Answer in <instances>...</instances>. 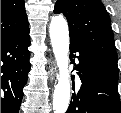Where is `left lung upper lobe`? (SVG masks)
<instances>
[{
  "label": "left lung upper lobe",
  "instance_id": "left-lung-upper-lobe-1",
  "mask_svg": "<svg viewBox=\"0 0 121 113\" xmlns=\"http://www.w3.org/2000/svg\"><path fill=\"white\" fill-rule=\"evenodd\" d=\"M54 12L67 18L70 40L118 74L110 18L100 0H57Z\"/></svg>",
  "mask_w": 121,
  "mask_h": 113
}]
</instances>
